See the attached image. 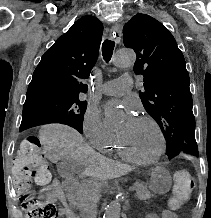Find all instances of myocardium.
Returning a JSON list of instances; mask_svg holds the SVG:
<instances>
[{
  "label": "myocardium",
  "instance_id": "myocardium-1",
  "mask_svg": "<svg viewBox=\"0 0 211 218\" xmlns=\"http://www.w3.org/2000/svg\"><path fill=\"white\" fill-rule=\"evenodd\" d=\"M139 118L147 120L155 128V130H156V132H157V134L159 136V140H160V147H159L158 152L154 156L149 157V158L139 157V156L133 154L132 152H130L127 149V147L125 146L123 140L121 139V137L119 135L116 138V142H117V145H118L121 153L127 159H129V160H131V161H133L135 163H138V164H153L156 161H158L161 158V156L163 155V153H164V149H165L164 132H163L161 126L159 125V123L153 117H151L149 115H143V116H141Z\"/></svg>",
  "mask_w": 211,
  "mask_h": 218
}]
</instances>
